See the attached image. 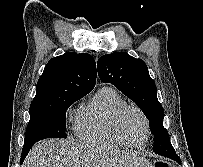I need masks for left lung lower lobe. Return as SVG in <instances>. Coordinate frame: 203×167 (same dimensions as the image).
<instances>
[{
	"label": "left lung lower lobe",
	"instance_id": "obj_1",
	"mask_svg": "<svg viewBox=\"0 0 203 167\" xmlns=\"http://www.w3.org/2000/svg\"><path fill=\"white\" fill-rule=\"evenodd\" d=\"M153 150L155 153L165 156L171 159H176L177 155L175 153L174 148L172 147L170 140H165L159 142L153 146Z\"/></svg>",
	"mask_w": 203,
	"mask_h": 167
}]
</instances>
